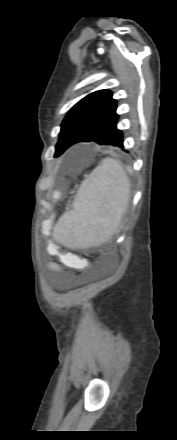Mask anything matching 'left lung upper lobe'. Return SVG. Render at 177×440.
<instances>
[{
  "mask_svg": "<svg viewBox=\"0 0 177 440\" xmlns=\"http://www.w3.org/2000/svg\"><path fill=\"white\" fill-rule=\"evenodd\" d=\"M116 104L109 90L93 92L76 103L62 122L55 156L117 116Z\"/></svg>",
  "mask_w": 177,
  "mask_h": 440,
  "instance_id": "5c2ea615",
  "label": "left lung upper lobe"
}]
</instances>
